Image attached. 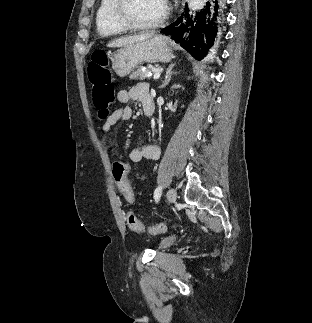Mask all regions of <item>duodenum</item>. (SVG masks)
Instances as JSON below:
<instances>
[{"instance_id":"410a0bca","label":"duodenum","mask_w":312,"mask_h":323,"mask_svg":"<svg viewBox=\"0 0 312 323\" xmlns=\"http://www.w3.org/2000/svg\"><path fill=\"white\" fill-rule=\"evenodd\" d=\"M143 112L146 120H151L154 117L155 104L150 91L143 98Z\"/></svg>"}]
</instances>
